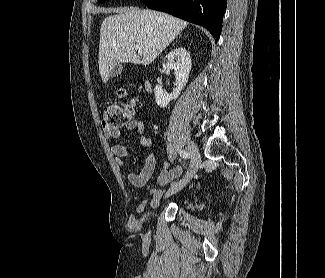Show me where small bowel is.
<instances>
[{"instance_id": "obj_1", "label": "small bowel", "mask_w": 325, "mask_h": 278, "mask_svg": "<svg viewBox=\"0 0 325 278\" xmlns=\"http://www.w3.org/2000/svg\"><path fill=\"white\" fill-rule=\"evenodd\" d=\"M125 131H137L139 134V141L140 144L143 147H149L151 146L153 139L152 136L147 135L145 133V125L144 122L139 118H133L128 123H126L123 127ZM105 137L107 139H118L121 136V129H116L112 131H105L104 133ZM111 153L114 156L115 164L119 167L124 165V161L128 158L129 152L127 148L121 144H113L111 146ZM156 167V158L154 154H150L144 163V166L142 170L139 173H135L133 171H128L127 177L131 185L134 187H142L144 186L152 177ZM183 173V166L179 165L173 169L169 168V162L165 159L163 168L159 172L158 175V183L161 186L167 185L170 181H172L174 178H177L181 176ZM162 196V190L161 189H153L151 191V200L145 201L142 203L141 208L146 207L148 204L150 206L157 205L159 199ZM131 225L134 224V222L130 223Z\"/></svg>"}]
</instances>
